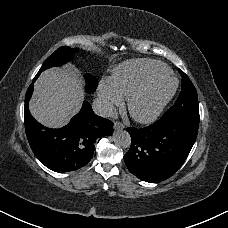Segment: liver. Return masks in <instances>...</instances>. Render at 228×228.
<instances>
[{"label":"liver","instance_id":"liver-1","mask_svg":"<svg viewBox=\"0 0 228 228\" xmlns=\"http://www.w3.org/2000/svg\"><path fill=\"white\" fill-rule=\"evenodd\" d=\"M82 100L77 77L69 70L52 68L43 72L36 82L30 111L41 124L62 127L79 111Z\"/></svg>","mask_w":228,"mask_h":228}]
</instances>
